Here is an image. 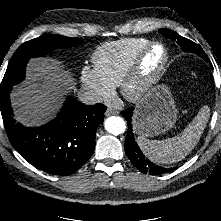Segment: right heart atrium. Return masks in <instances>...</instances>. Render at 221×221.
I'll use <instances>...</instances> for the list:
<instances>
[{
	"mask_svg": "<svg viewBox=\"0 0 221 221\" xmlns=\"http://www.w3.org/2000/svg\"><path fill=\"white\" fill-rule=\"evenodd\" d=\"M80 78L82 84L94 100L108 98L113 93V87L100 76L95 68L88 66L82 67Z\"/></svg>",
	"mask_w": 221,
	"mask_h": 221,
	"instance_id": "1",
	"label": "right heart atrium"
}]
</instances>
